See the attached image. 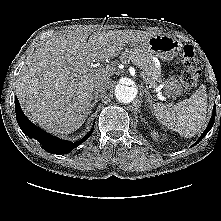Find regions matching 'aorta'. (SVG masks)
Listing matches in <instances>:
<instances>
[{"label":"aorta","mask_w":221,"mask_h":221,"mask_svg":"<svg viewBox=\"0 0 221 221\" xmlns=\"http://www.w3.org/2000/svg\"><path fill=\"white\" fill-rule=\"evenodd\" d=\"M138 94V89L135 86H128L119 83L115 88V97L121 103L132 102Z\"/></svg>","instance_id":"aorta-1"}]
</instances>
